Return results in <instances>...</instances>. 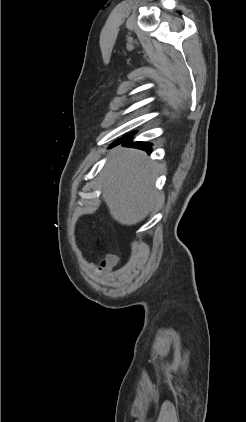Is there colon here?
<instances>
[{"label": "colon", "mask_w": 246, "mask_h": 422, "mask_svg": "<svg viewBox=\"0 0 246 422\" xmlns=\"http://www.w3.org/2000/svg\"><path fill=\"white\" fill-rule=\"evenodd\" d=\"M117 263V258L114 255H106L100 261L99 270H105L115 266Z\"/></svg>", "instance_id": "obj_1"}]
</instances>
